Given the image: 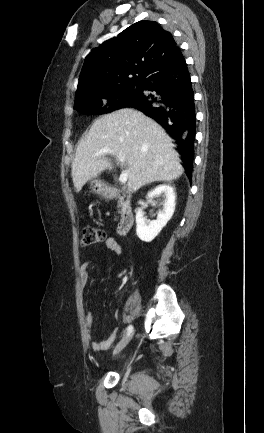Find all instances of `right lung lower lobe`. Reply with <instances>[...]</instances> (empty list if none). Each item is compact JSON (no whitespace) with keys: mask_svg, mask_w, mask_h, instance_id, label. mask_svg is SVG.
<instances>
[{"mask_svg":"<svg viewBox=\"0 0 264 433\" xmlns=\"http://www.w3.org/2000/svg\"><path fill=\"white\" fill-rule=\"evenodd\" d=\"M143 90L152 93H143ZM123 107L135 108L158 122L178 145L191 180L196 134L194 92L181 51L155 67L140 82V93Z\"/></svg>","mask_w":264,"mask_h":433,"instance_id":"obj_1","label":"right lung lower lobe"}]
</instances>
